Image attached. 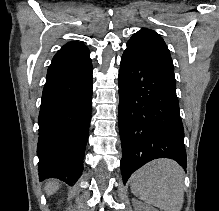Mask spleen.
Returning <instances> with one entry per match:
<instances>
[{"label": "spleen", "instance_id": "3e777b00", "mask_svg": "<svg viewBox=\"0 0 219 211\" xmlns=\"http://www.w3.org/2000/svg\"><path fill=\"white\" fill-rule=\"evenodd\" d=\"M183 175V167L174 159H153L132 173L131 191L138 199L164 211H181Z\"/></svg>", "mask_w": 219, "mask_h": 211}]
</instances>
